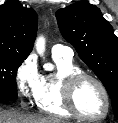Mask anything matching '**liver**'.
Wrapping results in <instances>:
<instances>
[{"instance_id": "liver-1", "label": "liver", "mask_w": 118, "mask_h": 123, "mask_svg": "<svg viewBox=\"0 0 118 123\" xmlns=\"http://www.w3.org/2000/svg\"><path fill=\"white\" fill-rule=\"evenodd\" d=\"M0 123H66L56 117L24 114L16 111L0 110Z\"/></svg>"}]
</instances>
